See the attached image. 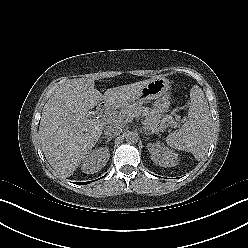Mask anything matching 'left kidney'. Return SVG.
<instances>
[{"mask_svg":"<svg viewBox=\"0 0 248 248\" xmlns=\"http://www.w3.org/2000/svg\"><path fill=\"white\" fill-rule=\"evenodd\" d=\"M151 160L161 167H174L179 163L178 154L159 142L147 145Z\"/></svg>","mask_w":248,"mask_h":248,"instance_id":"5707ae66","label":"left kidney"}]
</instances>
